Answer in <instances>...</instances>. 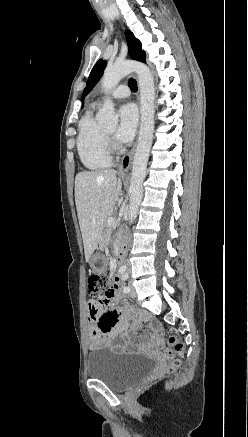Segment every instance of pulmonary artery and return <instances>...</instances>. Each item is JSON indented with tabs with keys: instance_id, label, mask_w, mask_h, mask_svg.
I'll return each instance as SVG.
<instances>
[{
	"instance_id": "1",
	"label": "pulmonary artery",
	"mask_w": 248,
	"mask_h": 437,
	"mask_svg": "<svg viewBox=\"0 0 248 437\" xmlns=\"http://www.w3.org/2000/svg\"><path fill=\"white\" fill-rule=\"evenodd\" d=\"M129 95H130V89L125 84L118 85L110 92V97L114 99L126 98ZM99 100L100 101L104 100V97H100Z\"/></svg>"
}]
</instances>
